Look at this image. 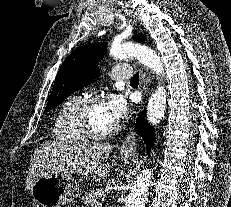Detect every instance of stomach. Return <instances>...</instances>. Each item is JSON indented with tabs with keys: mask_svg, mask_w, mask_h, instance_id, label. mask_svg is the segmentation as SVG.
<instances>
[{
	"mask_svg": "<svg viewBox=\"0 0 231 207\" xmlns=\"http://www.w3.org/2000/svg\"><path fill=\"white\" fill-rule=\"evenodd\" d=\"M30 193L41 207H61L73 202L80 189L78 182L69 174L55 172L39 177Z\"/></svg>",
	"mask_w": 231,
	"mask_h": 207,
	"instance_id": "0dacf381",
	"label": "stomach"
}]
</instances>
